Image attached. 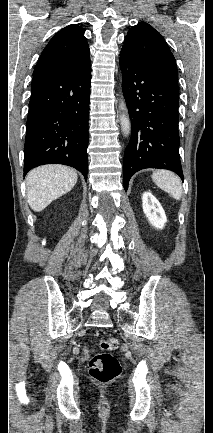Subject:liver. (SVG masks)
<instances>
[{"instance_id":"1","label":"liver","mask_w":213,"mask_h":433,"mask_svg":"<svg viewBox=\"0 0 213 433\" xmlns=\"http://www.w3.org/2000/svg\"><path fill=\"white\" fill-rule=\"evenodd\" d=\"M77 173L64 165H44L26 176L27 201L35 212L69 192L77 182Z\"/></svg>"}]
</instances>
